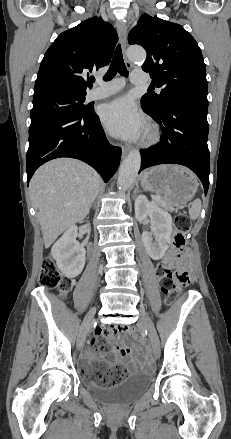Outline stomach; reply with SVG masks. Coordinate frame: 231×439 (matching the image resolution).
<instances>
[{"label": "stomach", "mask_w": 231, "mask_h": 439, "mask_svg": "<svg viewBox=\"0 0 231 439\" xmlns=\"http://www.w3.org/2000/svg\"><path fill=\"white\" fill-rule=\"evenodd\" d=\"M141 186L158 193L166 206L181 207L196 193L198 181L189 169L178 165H160L141 175Z\"/></svg>", "instance_id": "obj_1"}]
</instances>
